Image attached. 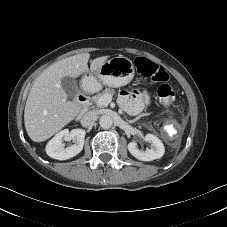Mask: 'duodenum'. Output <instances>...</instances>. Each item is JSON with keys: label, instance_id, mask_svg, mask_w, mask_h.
I'll return each instance as SVG.
<instances>
[{"label": "duodenum", "instance_id": "obj_1", "mask_svg": "<svg viewBox=\"0 0 227 227\" xmlns=\"http://www.w3.org/2000/svg\"><path fill=\"white\" fill-rule=\"evenodd\" d=\"M77 102L80 103L83 110H87L89 107V102L86 100L84 93H80L77 96Z\"/></svg>", "mask_w": 227, "mask_h": 227}]
</instances>
